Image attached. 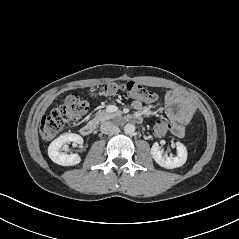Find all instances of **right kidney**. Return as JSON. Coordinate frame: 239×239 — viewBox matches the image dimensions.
Returning <instances> with one entry per match:
<instances>
[{"mask_svg":"<svg viewBox=\"0 0 239 239\" xmlns=\"http://www.w3.org/2000/svg\"><path fill=\"white\" fill-rule=\"evenodd\" d=\"M73 142V146L83 143V138L74 133H66L54 141L48 147V156L56 164L62 166L77 165L81 161V157L78 154H66L62 150L67 149V143Z\"/></svg>","mask_w":239,"mask_h":239,"instance_id":"ca27d5eb","label":"right kidney"}]
</instances>
